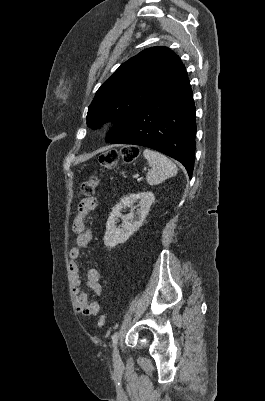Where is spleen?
<instances>
[{"label":"spleen","instance_id":"obj_1","mask_svg":"<svg viewBox=\"0 0 265 401\" xmlns=\"http://www.w3.org/2000/svg\"><path fill=\"white\" fill-rule=\"evenodd\" d=\"M143 156L147 158L149 166H152L151 170L147 172V182L154 186V184H160L166 178L170 176H175L177 174V166L169 160L165 154L161 152H156V150H150V148H145L143 150Z\"/></svg>","mask_w":265,"mask_h":401}]
</instances>
